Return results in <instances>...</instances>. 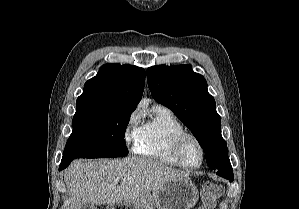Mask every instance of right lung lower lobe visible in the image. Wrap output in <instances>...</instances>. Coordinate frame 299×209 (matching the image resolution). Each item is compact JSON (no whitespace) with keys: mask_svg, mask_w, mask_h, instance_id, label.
Instances as JSON below:
<instances>
[{"mask_svg":"<svg viewBox=\"0 0 299 209\" xmlns=\"http://www.w3.org/2000/svg\"><path fill=\"white\" fill-rule=\"evenodd\" d=\"M73 159H62L61 164L59 166V170H62L66 167H68V165L71 163Z\"/></svg>","mask_w":299,"mask_h":209,"instance_id":"98d812e1","label":"right lung lower lobe"}]
</instances>
